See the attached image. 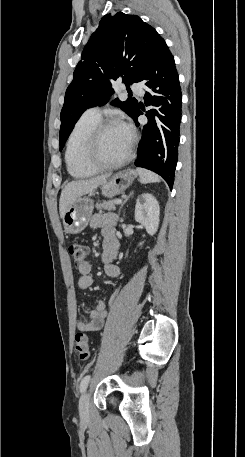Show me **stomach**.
<instances>
[{"instance_id": "obj_1", "label": "stomach", "mask_w": 245, "mask_h": 457, "mask_svg": "<svg viewBox=\"0 0 245 457\" xmlns=\"http://www.w3.org/2000/svg\"><path fill=\"white\" fill-rule=\"evenodd\" d=\"M137 172L133 168H126V170H119L116 174H112L108 180H105L101 186L102 194L112 198L115 194L124 192L134 178ZM93 200L90 196H80L76 198L73 204H70L63 216L64 231L68 235H77L84 231L87 226L93 210Z\"/></svg>"}]
</instances>
